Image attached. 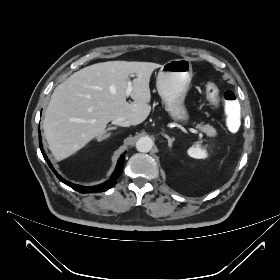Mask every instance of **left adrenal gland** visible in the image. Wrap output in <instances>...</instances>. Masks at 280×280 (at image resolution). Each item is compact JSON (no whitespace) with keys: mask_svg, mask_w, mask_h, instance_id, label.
Returning <instances> with one entry per match:
<instances>
[{"mask_svg":"<svg viewBox=\"0 0 280 280\" xmlns=\"http://www.w3.org/2000/svg\"><path fill=\"white\" fill-rule=\"evenodd\" d=\"M164 137L168 140V146L169 148H171L174 142V138H170L167 134H164Z\"/></svg>","mask_w":280,"mask_h":280,"instance_id":"obj_1","label":"left adrenal gland"}]
</instances>
